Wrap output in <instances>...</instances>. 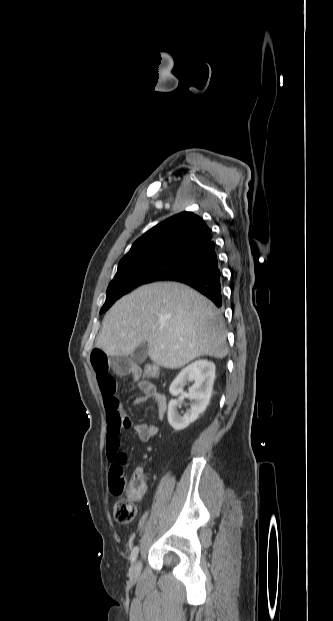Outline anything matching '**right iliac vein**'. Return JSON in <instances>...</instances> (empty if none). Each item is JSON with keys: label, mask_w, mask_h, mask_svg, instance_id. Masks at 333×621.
<instances>
[{"label": "right iliac vein", "mask_w": 333, "mask_h": 621, "mask_svg": "<svg viewBox=\"0 0 333 621\" xmlns=\"http://www.w3.org/2000/svg\"><path fill=\"white\" fill-rule=\"evenodd\" d=\"M140 569H141V561L140 559L135 560V562L133 563V565L131 566L130 569V574L132 579H137L139 574H140Z\"/></svg>", "instance_id": "63e3f726"}]
</instances>
